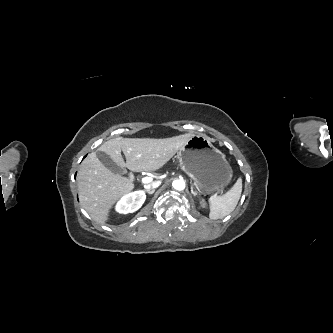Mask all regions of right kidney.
I'll return each instance as SVG.
<instances>
[{"label":"right kidney","instance_id":"1","mask_svg":"<svg viewBox=\"0 0 333 333\" xmlns=\"http://www.w3.org/2000/svg\"><path fill=\"white\" fill-rule=\"evenodd\" d=\"M146 200L144 191H135L124 195L117 203L116 210L119 213L127 214L137 211Z\"/></svg>","mask_w":333,"mask_h":333}]
</instances>
